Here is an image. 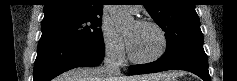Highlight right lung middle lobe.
Wrapping results in <instances>:
<instances>
[{"instance_id":"1","label":"right lung middle lobe","mask_w":237,"mask_h":81,"mask_svg":"<svg viewBox=\"0 0 237 81\" xmlns=\"http://www.w3.org/2000/svg\"><path fill=\"white\" fill-rule=\"evenodd\" d=\"M101 16V15H100ZM99 16L61 15L45 18L41 38H58L79 43H101L103 36Z\"/></svg>"}]
</instances>
